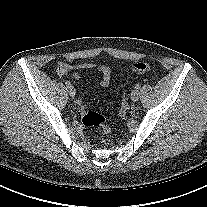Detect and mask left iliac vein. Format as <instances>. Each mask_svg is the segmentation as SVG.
<instances>
[{
  "mask_svg": "<svg viewBox=\"0 0 207 207\" xmlns=\"http://www.w3.org/2000/svg\"><path fill=\"white\" fill-rule=\"evenodd\" d=\"M139 96H140L139 91L138 90H133L132 93H131V100L133 102H136V101H138Z\"/></svg>",
  "mask_w": 207,
  "mask_h": 207,
  "instance_id": "left-iliac-vein-1",
  "label": "left iliac vein"
}]
</instances>
